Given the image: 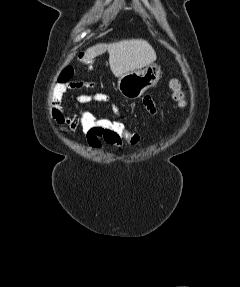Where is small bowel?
<instances>
[{
    "instance_id": "c3829d8e",
    "label": "small bowel",
    "mask_w": 240,
    "mask_h": 287,
    "mask_svg": "<svg viewBox=\"0 0 240 287\" xmlns=\"http://www.w3.org/2000/svg\"><path fill=\"white\" fill-rule=\"evenodd\" d=\"M83 101L87 103H109L112 108L117 111V106L113 102L112 98L105 93H92L85 94ZM144 108L153 116L158 114L157 106L150 95H145L142 99ZM50 112L52 118L56 121L62 132L75 134L78 127L72 122L68 111L63 104V96L60 94V90L57 85L52 89L51 99H50ZM86 140L89 147L95 151L101 150L103 144H109L115 148H120L122 145L121 141L104 139L96 135H86Z\"/></svg>"
}]
</instances>
